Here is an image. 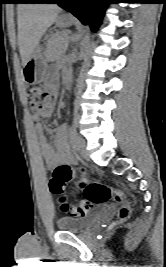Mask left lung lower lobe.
<instances>
[{
	"instance_id": "obj_1",
	"label": "left lung lower lobe",
	"mask_w": 166,
	"mask_h": 267,
	"mask_svg": "<svg viewBox=\"0 0 166 267\" xmlns=\"http://www.w3.org/2000/svg\"><path fill=\"white\" fill-rule=\"evenodd\" d=\"M46 3H57L83 24L89 23L94 30L100 25L104 11L111 2L110 0H49Z\"/></svg>"
}]
</instances>
